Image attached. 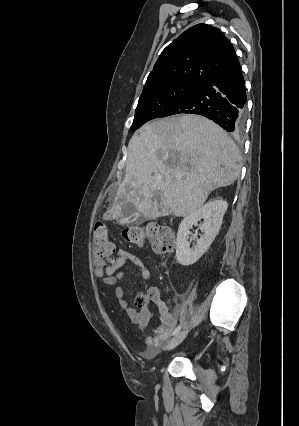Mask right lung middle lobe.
Listing matches in <instances>:
<instances>
[{
  "instance_id": "obj_1",
  "label": "right lung middle lobe",
  "mask_w": 299,
  "mask_h": 426,
  "mask_svg": "<svg viewBox=\"0 0 299 426\" xmlns=\"http://www.w3.org/2000/svg\"><path fill=\"white\" fill-rule=\"evenodd\" d=\"M198 87V85L194 84L177 82L143 91L130 130L135 131L147 121L161 117L170 107L181 101Z\"/></svg>"
}]
</instances>
